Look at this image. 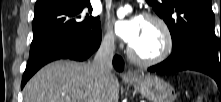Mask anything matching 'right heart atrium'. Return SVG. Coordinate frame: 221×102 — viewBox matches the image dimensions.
<instances>
[{
  "label": "right heart atrium",
  "instance_id": "d8ad5b80",
  "mask_svg": "<svg viewBox=\"0 0 221 102\" xmlns=\"http://www.w3.org/2000/svg\"><path fill=\"white\" fill-rule=\"evenodd\" d=\"M115 44V36L109 25L105 26L103 36H102V45L106 48H112Z\"/></svg>",
  "mask_w": 221,
  "mask_h": 102
}]
</instances>
